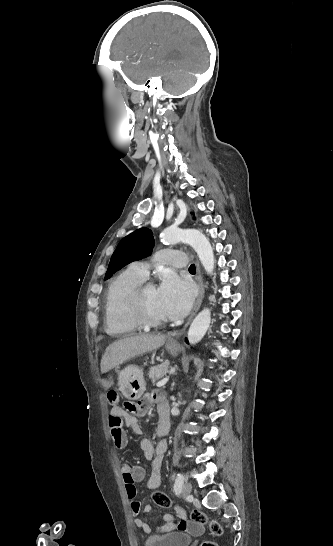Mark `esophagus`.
Here are the masks:
<instances>
[{
	"label": "esophagus",
	"instance_id": "34e87169",
	"mask_svg": "<svg viewBox=\"0 0 333 546\" xmlns=\"http://www.w3.org/2000/svg\"><path fill=\"white\" fill-rule=\"evenodd\" d=\"M196 280H197L198 287H199V295H198L197 301L195 303V306L193 308V311H192L191 315L189 316L188 320L185 323L184 330L191 323L193 317L195 316V314L199 310V308H200V306L202 304L203 298H204L205 289H204L203 278H202L201 269H200V265H199L198 261L196 263Z\"/></svg>",
	"mask_w": 333,
	"mask_h": 546
}]
</instances>
